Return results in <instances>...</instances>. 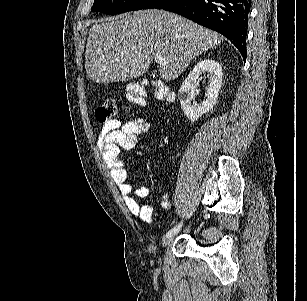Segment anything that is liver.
Returning <instances> with one entry per match:
<instances>
[{
    "label": "liver",
    "mask_w": 307,
    "mask_h": 301,
    "mask_svg": "<svg viewBox=\"0 0 307 301\" xmlns=\"http://www.w3.org/2000/svg\"><path fill=\"white\" fill-rule=\"evenodd\" d=\"M94 22L85 52L86 74L94 82L138 78L148 70L155 54H161L166 62L160 68L161 78L174 80L193 58L225 38L184 16L158 8Z\"/></svg>",
    "instance_id": "1"
}]
</instances>
